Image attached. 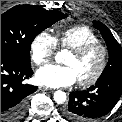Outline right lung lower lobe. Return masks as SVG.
I'll return each mask as SVG.
<instances>
[{
    "label": "right lung lower lobe",
    "mask_w": 122,
    "mask_h": 122,
    "mask_svg": "<svg viewBox=\"0 0 122 122\" xmlns=\"http://www.w3.org/2000/svg\"><path fill=\"white\" fill-rule=\"evenodd\" d=\"M32 74L30 64L1 52V122H18L25 115L29 95L38 88L24 83Z\"/></svg>",
    "instance_id": "1"
}]
</instances>
